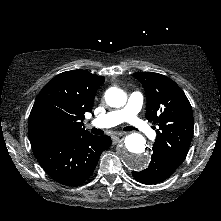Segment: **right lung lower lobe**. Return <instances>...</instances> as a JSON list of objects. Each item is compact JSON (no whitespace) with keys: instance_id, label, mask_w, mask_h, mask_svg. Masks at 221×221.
I'll return each mask as SVG.
<instances>
[{"instance_id":"98d812e1","label":"right lung lower lobe","mask_w":221,"mask_h":221,"mask_svg":"<svg viewBox=\"0 0 221 221\" xmlns=\"http://www.w3.org/2000/svg\"><path fill=\"white\" fill-rule=\"evenodd\" d=\"M109 136L88 135L59 139L32 145L44 170L55 181L66 186H78L94 172L102 151L111 145Z\"/></svg>"}]
</instances>
